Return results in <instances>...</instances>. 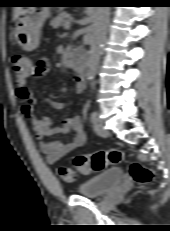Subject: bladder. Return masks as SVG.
<instances>
[{
	"mask_svg": "<svg viewBox=\"0 0 170 231\" xmlns=\"http://www.w3.org/2000/svg\"><path fill=\"white\" fill-rule=\"evenodd\" d=\"M124 177L122 168H111L79 185L77 191L84 197H100L110 192Z\"/></svg>",
	"mask_w": 170,
	"mask_h": 231,
	"instance_id": "obj_1",
	"label": "bladder"
}]
</instances>
